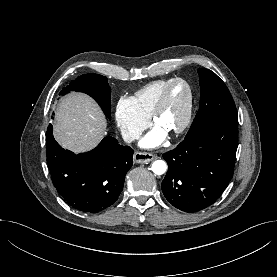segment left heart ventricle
<instances>
[{
  "label": "left heart ventricle",
  "mask_w": 277,
  "mask_h": 277,
  "mask_svg": "<svg viewBox=\"0 0 277 277\" xmlns=\"http://www.w3.org/2000/svg\"><path fill=\"white\" fill-rule=\"evenodd\" d=\"M187 100V89L181 83L175 84L168 95L166 105L157 119L156 126L170 133L176 129L183 118Z\"/></svg>",
  "instance_id": "left-heart-ventricle-1"
}]
</instances>
